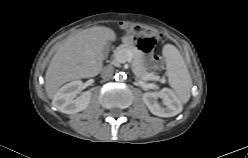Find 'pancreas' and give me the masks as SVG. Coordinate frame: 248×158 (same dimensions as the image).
<instances>
[{
    "label": "pancreas",
    "mask_w": 248,
    "mask_h": 158,
    "mask_svg": "<svg viewBox=\"0 0 248 158\" xmlns=\"http://www.w3.org/2000/svg\"><path fill=\"white\" fill-rule=\"evenodd\" d=\"M131 57L133 60V64L136 67V73L142 78H150L153 77V73H147L146 69L143 66V57L142 52H140L135 46L124 45L117 49L115 54V59L118 62L125 60Z\"/></svg>",
    "instance_id": "cf45deb5"
}]
</instances>
